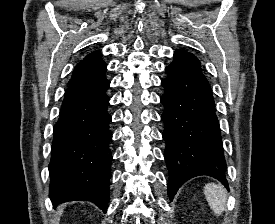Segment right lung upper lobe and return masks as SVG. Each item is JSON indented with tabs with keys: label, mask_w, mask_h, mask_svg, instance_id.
<instances>
[{
	"label": "right lung upper lobe",
	"mask_w": 275,
	"mask_h": 224,
	"mask_svg": "<svg viewBox=\"0 0 275 224\" xmlns=\"http://www.w3.org/2000/svg\"><path fill=\"white\" fill-rule=\"evenodd\" d=\"M105 72L106 64L101 59V53L99 51L93 52L77 64L69 81V86L104 76Z\"/></svg>",
	"instance_id": "obj_1"
}]
</instances>
